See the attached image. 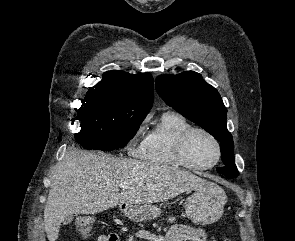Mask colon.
Returning <instances> with one entry per match:
<instances>
[{"instance_id": "5ec220e1", "label": "colon", "mask_w": 295, "mask_h": 241, "mask_svg": "<svg viewBox=\"0 0 295 241\" xmlns=\"http://www.w3.org/2000/svg\"><path fill=\"white\" fill-rule=\"evenodd\" d=\"M86 224L88 227H91L93 225V221L91 219H88Z\"/></svg>"}]
</instances>
